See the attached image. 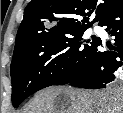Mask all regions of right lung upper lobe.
Segmentation results:
<instances>
[{"mask_svg":"<svg viewBox=\"0 0 123 113\" xmlns=\"http://www.w3.org/2000/svg\"><path fill=\"white\" fill-rule=\"evenodd\" d=\"M123 0H32L24 11L15 47L72 29L89 28ZM95 18L89 22V16Z\"/></svg>","mask_w":123,"mask_h":113,"instance_id":"obj_1","label":"right lung upper lobe"}]
</instances>
